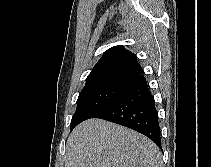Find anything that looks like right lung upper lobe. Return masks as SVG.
<instances>
[{"mask_svg":"<svg viewBox=\"0 0 211 167\" xmlns=\"http://www.w3.org/2000/svg\"><path fill=\"white\" fill-rule=\"evenodd\" d=\"M142 72L134 53L122 46H115L103 54L86 78V83L103 79L132 80Z\"/></svg>","mask_w":211,"mask_h":167,"instance_id":"right-lung-upper-lobe-1","label":"right lung upper lobe"}]
</instances>
